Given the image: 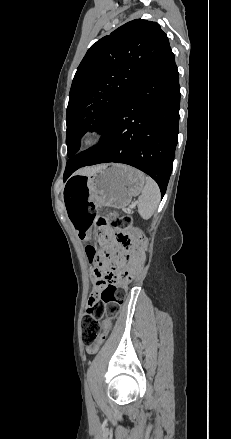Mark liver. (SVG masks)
Wrapping results in <instances>:
<instances>
[{
	"mask_svg": "<svg viewBox=\"0 0 231 439\" xmlns=\"http://www.w3.org/2000/svg\"><path fill=\"white\" fill-rule=\"evenodd\" d=\"M103 166L104 165H97V166H93V167L83 168V169L78 170L76 172V174L84 175V176L90 175V174L94 173L95 171H97L98 169H100Z\"/></svg>",
	"mask_w": 231,
	"mask_h": 439,
	"instance_id": "obj_1",
	"label": "liver"
}]
</instances>
